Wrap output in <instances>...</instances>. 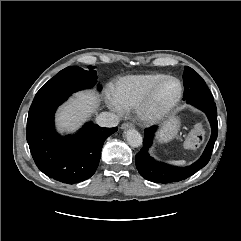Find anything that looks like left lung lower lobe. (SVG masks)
<instances>
[{
  "mask_svg": "<svg viewBox=\"0 0 241 241\" xmlns=\"http://www.w3.org/2000/svg\"><path fill=\"white\" fill-rule=\"evenodd\" d=\"M189 104L202 110L207 115L211 124V137L202 156L195 163L184 168L174 167L154 160L149 156L148 150L152 145L157 128L151 127L145 130L143 147L136 154V167L143 178L156 183L178 182L192 176L209 162L214 143L217 139L218 122L216 104L213 100H197Z\"/></svg>",
  "mask_w": 241,
  "mask_h": 241,
  "instance_id": "obj_1",
  "label": "left lung lower lobe"
}]
</instances>
